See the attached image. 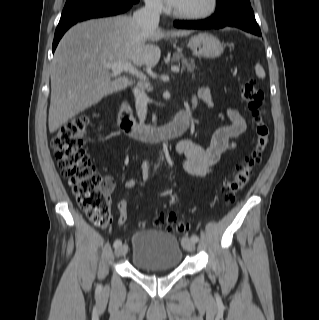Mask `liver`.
Masks as SVG:
<instances>
[{
	"label": "liver",
	"instance_id": "liver-1",
	"mask_svg": "<svg viewBox=\"0 0 319 320\" xmlns=\"http://www.w3.org/2000/svg\"><path fill=\"white\" fill-rule=\"evenodd\" d=\"M190 33L174 30L165 34L158 27L145 30L128 15L92 19L73 26L60 40L52 61L50 133L132 83L126 76L112 80L106 63L132 62L137 67H154L161 56L154 42L165 36Z\"/></svg>",
	"mask_w": 319,
	"mask_h": 320
}]
</instances>
